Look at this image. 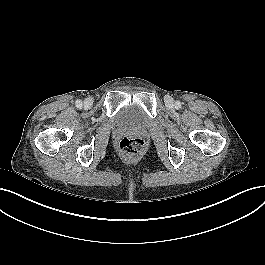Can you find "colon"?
Returning a JSON list of instances; mask_svg holds the SVG:
<instances>
[{
    "label": "colon",
    "instance_id": "1",
    "mask_svg": "<svg viewBox=\"0 0 265 265\" xmlns=\"http://www.w3.org/2000/svg\"><path fill=\"white\" fill-rule=\"evenodd\" d=\"M119 150L126 156H138L145 149V142L141 138H123L118 144Z\"/></svg>",
    "mask_w": 265,
    "mask_h": 265
}]
</instances>
